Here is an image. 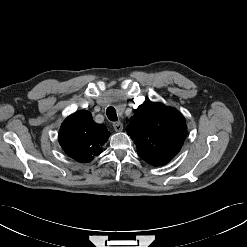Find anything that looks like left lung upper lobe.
<instances>
[{"label":"left lung upper lobe","mask_w":247,"mask_h":247,"mask_svg":"<svg viewBox=\"0 0 247 247\" xmlns=\"http://www.w3.org/2000/svg\"><path fill=\"white\" fill-rule=\"evenodd\" d=\"M127 133L144 161L161 166L179 152L187 127L185 118L178 110L146 100L130 118Z\"/></svg>","instance_id":"left-lung-upper-lobe-1"}]
</instances>
